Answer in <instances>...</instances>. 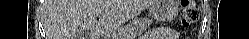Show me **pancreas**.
I'll use <instances>...</instances> for the list:
<instances>
[{
	"label": "pancreas",
	"instance_id": "1",
	"mask_svg": "<svg viewBox=\"0 0 249 39\" xmlns=\"http://www.w3.org/2000/svg\"><path fill=\"white\" fill-rule=\"evenodd\" d=\"M151 23L152 20L148 18H136L133 22L123 28L121 36L124 39H132L139 36L150 26Z\"/></svg>",
	"mask_w": 249,
	"mask_h": 39
}]
</instances>
